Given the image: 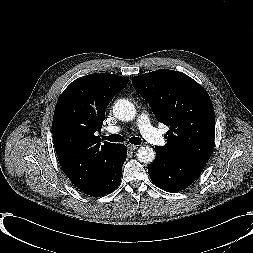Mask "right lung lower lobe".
<instances>
[{"instance_id":"obj_1","label":"right lung lower lobe","mask_w":253,"mask_h":253,"mask_svg":"<svg viewBox=\"0 0 253 253\" xmlns=\"http://www.w3.org/2000/svg\"><path fill=\"white\" fill-rule=\"evenodd\" d=\"M127 149L124 144H118L117 154L112 167L91 187L83 190L91 196H103L112 191L121 181L122 166L126 160Z\"/></svg>"}]
</instances>
